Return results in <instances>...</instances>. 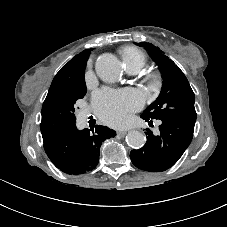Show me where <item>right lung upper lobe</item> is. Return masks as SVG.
I'll return each instance as SVG.
<instances>
[{"instance_id": "1", "label": "right lung upper lobe", "mask_w": 227, "mask_h": 227, "mask_svg": "<svg viewBox=\"0 0 227 227\" xmlns=\"http://www.w3.org/2000/svg\"><path fill=\"white\" fill-rule=\"evenodd\" d=\"M91 49H86L78 55L74 56L67 64H65L54 77L52 83L61 81H71L78 83L84 80L86 62L89 58ZM85 81V80H84Z\"/></svg>"}]
</instances>
